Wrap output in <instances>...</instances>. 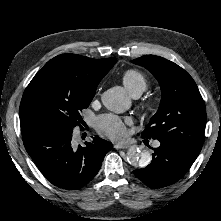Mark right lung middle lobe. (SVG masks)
Returning a JSON list of instances; mask_svg holds the SVG:
<instances>
[{
    "mask_svg": "<svg viewBox=\"0 0 221 221\" xmlns=\"http://www.w3.org/2000/svg\"><path fill=\"white\" fill-rule=\"evenodd\" d=\"M95 92L61 87L45 77L33 78L24 91L19 114L27 120L48 126L76 127Z\"/></svg>",
    "mask_w": 221,
    "mask_h": 221,
    "instance_id": "right-lung-middle-lobe-1",
    "label": "right lung middle lobe"
}]
</instances>
